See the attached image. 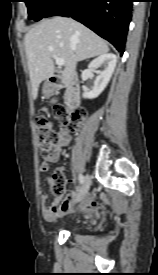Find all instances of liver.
I'll use <instances>...</instances> for the list:
<instances>
[{"label": "liver", "instance_id": "obj_1", "mask_svg": "<svg viewBox=\"0 0 158 275\" xmlns=\"http://www.w3.org/2000/svg\"><path fill=\"white\" fill-rule=\"evenodd\" d=\"M33 99L39 85L55 72L53 55L64 60V82L74 79L77 62L108 53L107 43L83 24L66 17L44 19L25 35Z\"/></svg>", "mask_w": 158, "mask_h": 275}]
</instances>
